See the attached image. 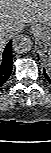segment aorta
<instances>
[{"instance_id": "1", "label": "aorta", "mask_w": 51, "mask_h": 153, "mask_svg": "<svg viewBox=\"0 0 51 153\" xmlns=\"http://www.w3.org/2000/svg\"><path fill=\"white\" fill-rule=\"evenodd\" d=\"M33 41L30 36L26 34L18 35L13 40V50L17 54H24L31 50Z\"/></svg>"}]
</instances>
